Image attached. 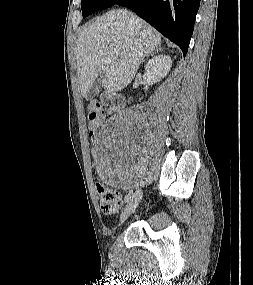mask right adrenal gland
I'll return each instance as SVG.
<instances>
[{
    "label": "right adrenal gland",
    "mask_w": 253,
    "mask_h": 285,
    "mask_svg": "<svg viewBox=\"0 0 253 285\" xmlns=\"http://www.w3.org/2000/svg\"><path fill=\"white\" fill-rule=\"evenodd\" d=\"M158 51L162 52L163 51L162 47H158L154 51H151V52L147 53L145 55V57H148L149 55H152L153 53L158 52ZM142 62H144V60H142Z\"/></svg>",
    "instance_id": "1"
}]
</instances>
